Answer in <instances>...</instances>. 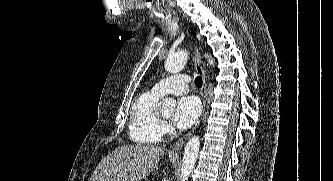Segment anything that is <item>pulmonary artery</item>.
Masks as SVG:
<instances>
[{"instance_id":"1","label":"pulmonary artery","mask_w":333,"mask_h":181,"mask_svg":"<svg viewBox=\"0 0 333 181\" xmlns=\"http://www.w3.org/2000/svg\"><path fill=\"white\" fill-rule=\"evenodd\" d=\"M189 78L187 75H174L168 78L163 79L158 82L153 87V92L162 96L165 94H174V95H182L188 92L187 83Z\"/></svg>"}]
</instances>
